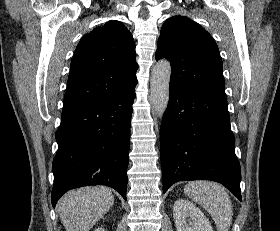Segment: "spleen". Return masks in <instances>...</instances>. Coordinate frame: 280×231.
<instances>
[{"label": "spleen", "mask_w": 280, "mask_h": 231, "mask_svg": "<svg viewBox=\"0 0 280 231\" xmlns=\"http://www.w3.org/2000/svg\"><path fill=\"white\" fill-rule=\"evenodd\" d=\"M190 199L207 209L217 231H228L233 215L231 199L222 185L213 181H190L184 187Z\"/></svg>", "instance_id": "3e777b00"}]
</instances>
